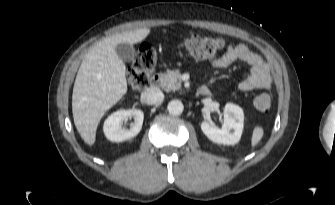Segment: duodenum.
Returning <instances> with one entry per match:
<instances>
[{"instance_id":"duodenum-1","label":"duodenum","mask_w":335,"mask_h":205,"mask_svg":"<svg viewBox=\"0 0 335 205\" xmlns=\"http://www.w3.org/2000/svg\"><path fill=\"white\" fill-rule=\"evenodd\" d=\"M159 81H160V76L158 74H154L150 80L151 86H157L159 84ZM197 92L198 94L203 95V96H208L211 94L210 89L206 86L200 87Z\"/></svg>"}]
</instances>
